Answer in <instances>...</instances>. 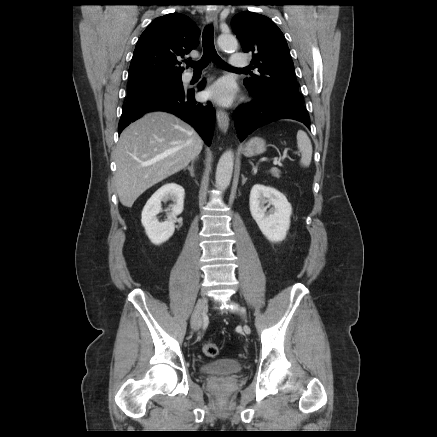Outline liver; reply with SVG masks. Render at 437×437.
<instances>
[{"mask_svg":"<svg viewBox=\"0 0 437 437\" xmlns=\"http://www.w3.org/2000/svg\"><path fill=\"white\" fill-rule=\"evenodd\" d=\"M202 146L189 124L166 112H151L130 124L114 151L121 204L131 208L147 189L185 168Z\"/></svg>","mask_w":437,"mask_h":437,"instance_id":"6515ba94","label":"liver"}]
</instances>
